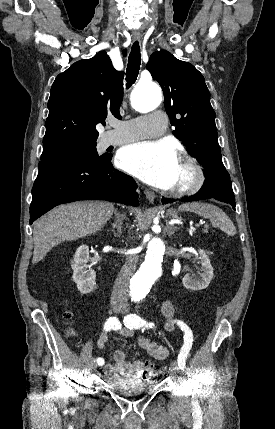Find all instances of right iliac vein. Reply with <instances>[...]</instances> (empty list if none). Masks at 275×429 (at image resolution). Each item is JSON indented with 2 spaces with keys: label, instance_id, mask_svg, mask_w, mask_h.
<instances>
[{
  "label": "right iliac vein",
  "instance_id": "63e3f726",
  "mask_svg": "<svg viewBox=\"0 0 275 429\" xmlns=\"http://www.w3.org/2000/svg\"><path fill=\"white\" fill-rule=\"evenodd\" d=\"M121 305H119V304H113L112 305V309H113V311L114 312H116V313H118V312H120L121 311ZM90 368L92 369V370H95L96 368H97V363L95 362V361H92L91 363H90Z\"/></svg>",
  "mask_w": 275,
  "mask_h": 429
}]
</instances>
